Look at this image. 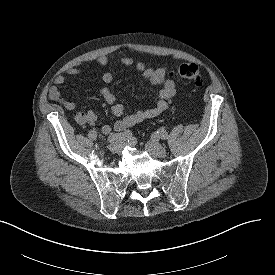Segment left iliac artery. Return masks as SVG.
<instances>
[{
	"label": "left iliac artery",
	"mask_w": 275,
	"mask_h": 275,
	"mask_svg": "<svg viewBox=\"0 0 275 275\" xmlns=\"http://www.w3.org/2000/svg\"><path fill=\"white\" fill-rule=\"evenodd\" d=\"M156 133H157V136L162 140H166L168 138V133L164 128H160Z\"/></svg>",
	"instance_id": "44dca946"
}]
</instances>
